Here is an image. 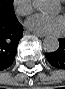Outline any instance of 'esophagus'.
<instances>
[{
  "label": "esophagus",
  "mask_w": 65,
  "mask_h": 89,
  "mask_svg": "<svg viewBox=\"0 0 65 89\" xmlns=\"http://www.w3.org/2000/svg\"><path fill=\"white\" fill-rule=\"evenodd\" d=\"M35 36H37V37H40V38H43V37H45V35H40V34H35V33H33Z\"/></svg>",
  "instance_id": "esophagus-1"
}]
</instances>
